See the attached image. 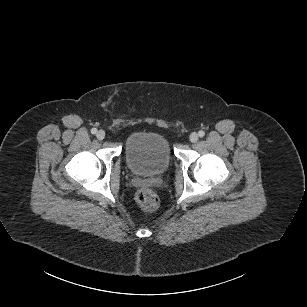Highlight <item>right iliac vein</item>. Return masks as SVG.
<instances>
[{"instance_id":"1","label":"right iliac vein","mask_w":307,"mask_h":307,"mask_svg":"<svg viewBox=\"0 0 307 307\" xmlns=\"http://www.w3.org/2000/svg\"><path fill=\"white\" fill-rule=\"evenodd\" d=\"M97 139L103 140L105 138V132L103 130H99L96 134Z\"/></svg>"}]
</instances>
